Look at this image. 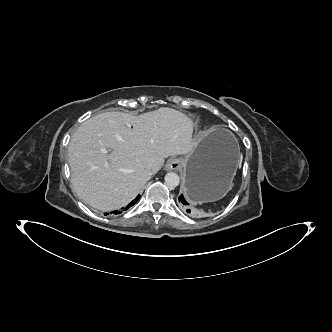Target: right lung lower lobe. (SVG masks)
Wrapping results in <instances>:
<instances>
[{
    "label": "right lung lower lobe",
    "instance_id": "obj_1",
    "mask_svg": "<svg viewBox=\"0 0 332 332\" xmlns=\"http://www.w3.org/2000/svg\"><path fill=\"white\" fill-rule=\"evenodd\" d=\"M140 195H138L131 203L128 204V206L125 208V210H128L129 207L133 206L135 203H137V201L139 200ZM114 214H119V211H114ZM108 213H105V215H107Z\"/></svg>",
    "mask_w": 332,
    "mask_h": 332
}]
</instances>
